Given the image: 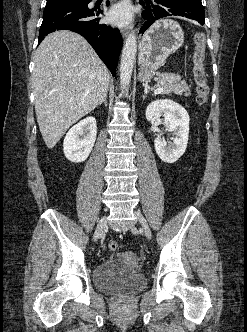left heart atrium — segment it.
I'll use <instances>...</instances> for the list:
<instances>
[{"label": "left heart atrium", "instance_id": "1", "mask_svg": "<svg viewBox=\"0 0 247 332\" xmlns=\"http://www.w3.org/2000/svg\"><path fill=\"white\" fill-rule=\"evenodd\" d=\"M131 16V10L126 3L114 5L107 14L108 21L118 26L128 24Z\"/></svg>", "mask_w": 247, "mask_h": 332}]
</instances>
